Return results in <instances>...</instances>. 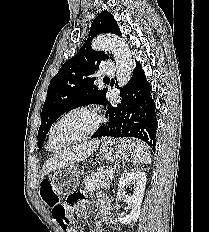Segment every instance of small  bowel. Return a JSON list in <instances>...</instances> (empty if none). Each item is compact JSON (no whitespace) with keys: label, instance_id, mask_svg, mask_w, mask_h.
<instances>
[{"label":"small bowel","instance_id":"small-bowel-1","mask_svg":"<svg viewBox=\"0 0 209 232\" xmlns=\"http://www.w3.org/2000/svg\"><path fill=\"white\" fill-rule=\"evenodd\" d=\"M84 199H86V190H71V194H67V198H65L64 201V209H66V213H79V209H81L82 212H85L86 208L82 205ZM94 205L102 211L105 218L108 217L107 201L104 197H100ZM64 231L83 232L76 227H68L67 229H64Z\"/></svg>","mask_w":209,"mask_h":232}]
</instances>
